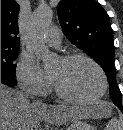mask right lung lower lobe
Instances as JSON below:
<instances>
[{"label":"right lung lower lobe","instance_id":"right-lung-lower-lobe-1","mask_svg":"<svg viewBox=\"0 0 123 130\" xmlns=\"http://www.w3.org/2000/svg\"><path fill=\"white\" fill-rule=\"evenodd\" d=\"M1 83L8 85V86H14L16 84V82H11V81L4 79V78H1Z\"/></svg>","mask_w":123,"mask_h":130}]
</instances>
